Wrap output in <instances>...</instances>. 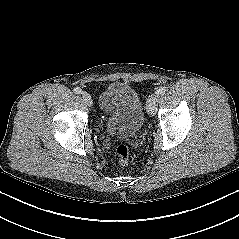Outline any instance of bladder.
Wrapping results in <instances>:
<instances>
[{"label": "bladder", "instance_id": "obj_1", "mask_svg": "<svg viewBox=\"0 0 239 239\" xmlns=\"http://www.w3.org/2000/svg\"><path fill=\"white\" fill-rule=\"evenodd\" d=\"M107 90L111 94L112 107L108 130L127 136L135 135L143 124V106L138 92L125 82H113Z\"/></svg>", "mask_w": 239, "mask_h": 239}]
</instances>
